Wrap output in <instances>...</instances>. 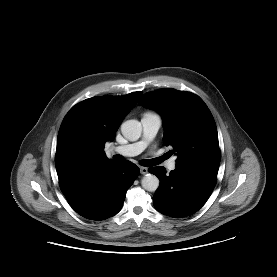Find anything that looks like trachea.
I'll use <instances>...</instances> for the list:
<instances>
[{
    "label": "trachea",
    "instance_id": "trachea-1",
    "mask_svg": "<svg viewBox=\"0 0 277 277\" xmlns=\"http://www.w3.org/2000/svg\"><path fill=\"white\" fill-rule=\"evenodd\" d=\"M165 158H167V156H162L161 158H157V159L142 160L140 163L144 166H155V165L159 164ZM114 159H115L116 162H122L123 161V158L120 155H116L114 157Z\"/></svg>",
    "mask_w": 277,
    "mask_h": 277
}]
</instances>
